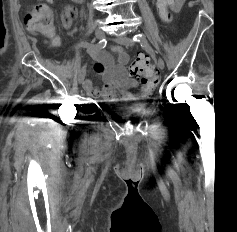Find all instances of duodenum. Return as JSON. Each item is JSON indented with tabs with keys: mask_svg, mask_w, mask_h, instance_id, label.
<instances>
[{
	"mask_svg": "<svg viewBox=\"0 0 237 232\" xmlns=\"http://www.w3.org/2000/svg\"><path fill=\"white\" fill-rule=\"evenodd\" d=\"M75 2L82 3L84 0H74Z\"/></svg>",
	"mask_w": 237,
	"mask_h": 232,
	"instance_id": "1",
	"label": "duodenum"
}]
</instances>
